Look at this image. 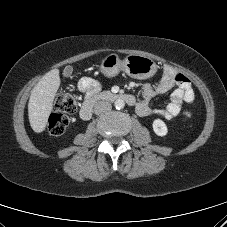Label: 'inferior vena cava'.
<instances>
[{"mask_svg": "<svg viewBox=\"0 0 227 227\" xmlns=\"http://www.w3.org/2000/svg\"><path fill=\"white\" fill-rule=\"evenodd\" d=\"M112 106L107 101H99L94 106V113L99 115L106 112H109L111 110Z\"/></svg>", "mask_w": 227, "mask_h": 227, "instance_id": "1", "label": "inferior vena cava"}]
</instances>
